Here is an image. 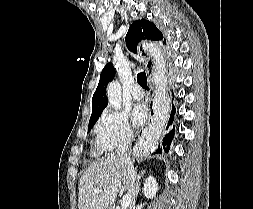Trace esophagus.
Masks as SVG:
<instances>
[{
    "label": "esophagus",
    "mask_w": 253,
    "mask_h": 209,
    "mask_svg": "<svg viewBox=\"0 0 253 209\" xmlns=\"http://www.w3.org/2000/svg\"><path fill=\"white\" fill-rule=\"evenodd\" d=\"M153 117H154V108L149 107V118L146 122V124L142 127V129H146L152 122H153Z\"/></svg>",
    "instance_id": "obj_1"
}]
</instances>
